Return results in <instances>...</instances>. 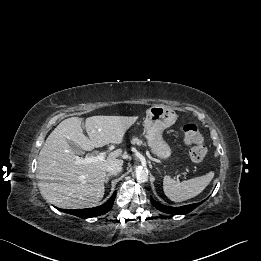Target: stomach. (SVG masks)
<instances>
[{
  "label": "stomach",
  "mask_w": 261,
  "mask_h": 261,
  "mask_svg": "<svg viewBox=\"0 0 261 261\" xmlns=\"http://www.w3.org/2000/svg\"><path fill=\"white\" fill-rule=\"evenodd\" d=\"M176 121V113L169 107L154 105L147 110L144 131L147 144L153 154L166 160L171 156V148L163 139V131Z\"/></svg>",
  "instance_id": "obj_1"
}]
</instances>
